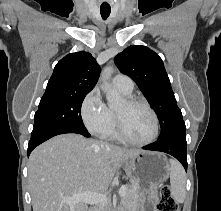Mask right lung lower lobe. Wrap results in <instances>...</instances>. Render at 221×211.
Here are the masks:
<instances>
[{
    "instance_id": "98d812e1",
    "label": "right lung lower lobe",
    "mask_w": 221,
    "mask_h": 211,
    "mask_svg": "<svg viewBox=\"0 0 221 211\" xmlns=\"http://www.w3.org/2000/svg\"><path fill=\"white\" fill-rule=\"evenodd\" d=\"M65 133H77L81 134L85 137H89L90 134L86 129H78L73 127H57V128H49L46 130H43L41 132L31 134V139L28 144V156L31 153V151L38 146L39 144L43 143L44 141L59 135V134H65Z\"/></svg>"
}]
</instances>
